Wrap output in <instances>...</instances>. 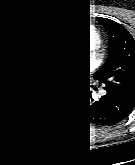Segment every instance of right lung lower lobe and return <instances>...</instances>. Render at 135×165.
Returning <instances> with one entry per match:
<instances>
[{
	"label": "right lung lower lobe",
	"instance_id": "right-lung-lower-lobe-1",
	"mask_svg": "<svg viewBox=\"0 0 135 165\" xmlns=\"http://www.w3.org/2000/svg\"><path fill=\"white\" fill-rule=\"evenodd\" d=\"M57 82L36 84L28 79L0 80V123L35 127L49 114Z\"/></svg>",
	"mask_w": 135,
	"mask_h": 165
}]
</instances>
